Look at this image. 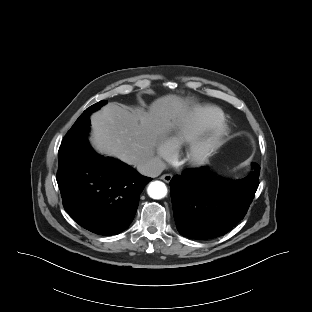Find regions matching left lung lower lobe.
I'll use <instances>...</instances> for the list:
<instances>
[{"label": "left lung lower lobe", "mask_w": 312, "mask_h": 312, "mask_svg": "<svg viewBox=\"0 0 312 312\" xmlns=\"http://www.w3.org/2000/svg\"><path fill=\"white\" fill-rule=\"evenodd\" d=\"M260 166L245 178L226 181L208 167L174 176L170 182L174 219L179 233L191 239L222 236L242 220L259 185Z\"/></svg>", "instance_id": "obj_1"}]
</instances>
